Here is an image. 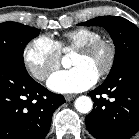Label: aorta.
I'll use <instances>...</instances> for the list:
<instances>
[{"label": "aorta", "mask_w": 139, "mask_h": 139, "mask_svg": "<svg viewBox=\"0 0 139 139\" xmlns=\"http://www.w3.org/2000/svg\"><path fill=\"white\" fill-rule=\"evenodd\" d=\"M62 65L66 68L71 66V60L68 56L62 58ZM75 108L80 113H89L93 108V102L88 96H79L74 102Z\"/></svg>", "instance_id": "aorta-1"}]
</instances>
